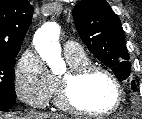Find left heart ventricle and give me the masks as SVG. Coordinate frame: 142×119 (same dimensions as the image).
Segmentation results:
<instances>
[{
	"mask_svg": "<svg viewBox=\"0 0 142 119\" xmlns=\"http://www.w3.org/2000/svg\"><path fill=\"white\" fill-rule=\"evenodd\" d=\"M74 99L89 111L101 112L114 105L116 89L108 77L101 73H93L75 89Z\"/></svg>",
	"mask_w": 142,
	"mask_h": 119,
	"instance_id": "left-heart-ventricle-1",
	"label": "left heart ventricle"
}]
</instances>
